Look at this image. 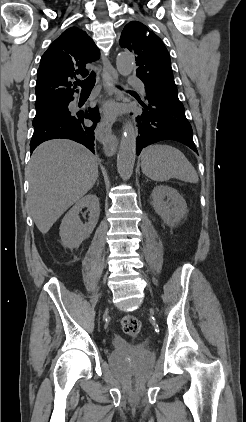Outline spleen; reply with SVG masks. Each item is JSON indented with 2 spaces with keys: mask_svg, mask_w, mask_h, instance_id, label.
Here are the masks:
<instances>
[{
  "mask_svg": "<svg viewBox=\"0 0 246 422\" xmlns=\"http://www.w3.org/2000/svg\"><path fill=\"white\" fill-rule=\"evenodd\" d=\"M141 168L148 178L164 182L176 178L197 183V172L185 155L170 145L155 144L145 148L141 155Z\"/></svg>",
  "mask_w": 246,
  "mask_h": 422,
  "instance_id": "obj_1",
  "label": "spleen"
}]
</instances>
